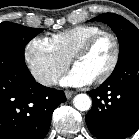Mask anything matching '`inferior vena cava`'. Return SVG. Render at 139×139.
<instances>
[{"instance_id": "inferior-vena-cava-1", "label": "inferior vena cava", "mask_w": 139, "mask_h": 139, "mask_svg": "<svg viewBox=\"0 0 139 139\" xmlns=\"http://www.w3.org/2000/svg\"><path fill=\"white\" fill-rule=\"evenodd\" d=\"M38 81L42 85L50 86L57 81V76L51 73H44L38 77Z\"/></svg>"}]
</instances>
